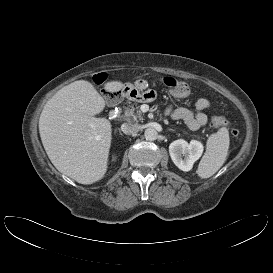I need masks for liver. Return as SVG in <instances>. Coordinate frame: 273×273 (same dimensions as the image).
Here are the masks:
<instances>
[{
  "label": "liver",
  "instance_id": "1",
  "mask_svg": "<svg viewBox=\"0 0 273 273\" xmlns=\"http://www.w3.org/2000/svg\"><path fill=\"white\" fill-rule=\"evenodd\" d=\"M120 81L107 82L104 90L117 92ZM105 100L85 80L61 88L44 106L39 118V133L46 153L62 174L81 184L101 180L108 168L112 126L96 118Z\"/></svg>",
  "mask_w": 273,
  "mask_h": 273
}]
</instances>
